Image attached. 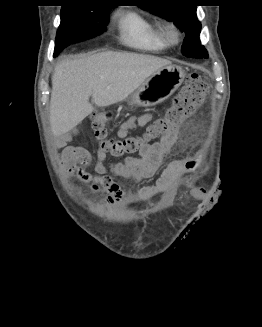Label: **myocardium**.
Returning <instances> with one entry per match:
<instances>
[{"instance_id":"f54148a6","label":"myocardium","mask_w":262,"mask_h":327,"mask_svg":"<svg viewBox=\"0 0 262 327\" xmlns=\"http://www.w3.org/2000/svg\"><path fill=\"white\" fill-rule=\"evenodd\" d=\"M163 35L170 44H177L181 38V31L174 23H167L162 27Z\"/></svg>"}]
</instances>
